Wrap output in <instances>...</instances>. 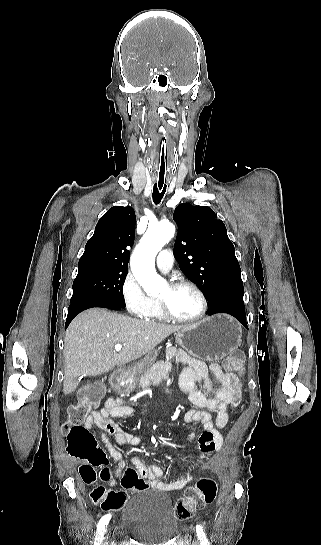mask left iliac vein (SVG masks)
I'll return each mask as SVG.
<instances>
[{"label": "left iliac vein", "mask_w": 321, "mask_h": 545, "mask_svg": "<svg viewBox=\"0 0 321 545\" xmlns=\"http://www.w3.org/2000/svg\"><path fill=\"white\" fill-rule=\"evenodd\" d=\"M194 545H199V542H198V541H195V542H194Z\"/></svg>", "instance_id": "1"}]
</instances>
